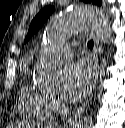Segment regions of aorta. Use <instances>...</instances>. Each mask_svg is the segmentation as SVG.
Masks as SVG:
<instances>
[{
  "instance_id": "1",
  "label": "aorta",
  "mask_w": 125,
  "mask_h": 128,
  "mask_svg": "<svg viewBox=\"0 0 125 128\" xmlns=\"http://www.w3.org/2000/svg\"><path fill=\"white\" fill-rule=\"evenodd\" d=\"M91 30L103 43H108L111 27L108 17L98 8L90 5H75L54 19L43 34L44 42L66 39L78 32ZM35 84L43 90H51L59 85L58 71L48 62L38 64L33 73ZM91 117L83 118L73 128H91Z\"/></svg>"
}]
</instances>
